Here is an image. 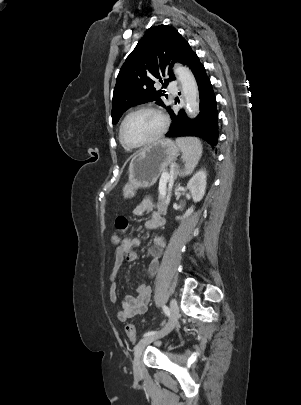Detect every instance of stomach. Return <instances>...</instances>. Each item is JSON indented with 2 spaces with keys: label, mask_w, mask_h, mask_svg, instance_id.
Masks as SVG:
<instances>
[{
  "label": "stomach",
  "mask_w": 301,
  "mask_h": 405,
  "mask_svg": "<svg viewBox=\"0 0 301 405\" xmlns=\"http://www.w3.org/2000/svg\"><path fill=\"white\" fill-rule=\"evenodd\" d=\"M178 154V145L170 139L158 140L138 151L129 164L128 181L123 187L124 198H132L139 188L153 186Z\"/></svg>",
  "instance_id": "stomach-1"
}]
</instances>
